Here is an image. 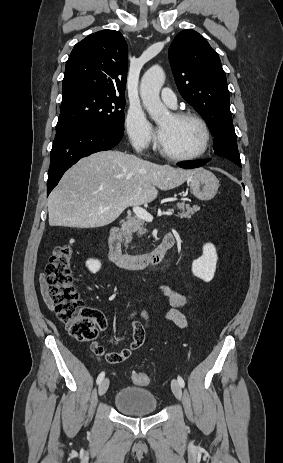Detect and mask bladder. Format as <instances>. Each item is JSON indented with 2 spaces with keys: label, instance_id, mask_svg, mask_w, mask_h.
Returning a JSON list of instances; mask_svg holds the SVG:
<instances>
[{
  "label": "bladder",
  "instance_id": "31cf9c89",
  "mask_svg": "<svg viewBox=\"0 0 283 463\" xmlns=\"http://www.w3.org/2000/svg\"><path fill=\"white\" fill-rule=\"evenodd\" d=\"M115 407L128 416H145L158 410L157 397L142 387L124 386L114 397Z\"/></svg>",
  "mask_w": 283,
  "mask_h": 463
}]
</instances>
